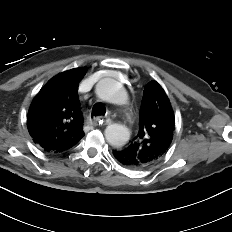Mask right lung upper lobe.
I'll return each instance as SVG.
<instances>
[{
  "mask_svg": "<svg viewBox=\"0 0 232 232\" xmlns=\"http://www.w3.org/2000/svg\"><path fill=\"white\" fill-rule=\"evenodd\" d=\"M87 68H75L49 80L33 99L27 128L35 144L48 153L64 152L85 135L77 97L78 85Z\"/></svg>",
  "mask_w": 232,
  "mask_h": 232,
  "instance_id": "obj_1",
  "label": "right lung upper lobe"
}]
</instances>
